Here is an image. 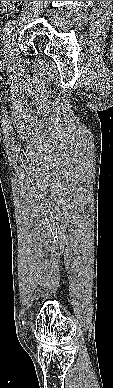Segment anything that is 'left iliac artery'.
Masks as SVG:
<instances>
[{
    "instance_id": "1",
    "label": "left iliac artery",
    "mask_w": 113,
    "mask_h": 388,
    "mask_svg": "<svg viewBox=\"0 0 113 388\" xmlns=\"http://www.w3.org/2000/svg\"><path fill=\"white\" fill-rule=\"evenodd\" d=\"M19 20H9L6 24H5V27H4V30H3V38H7L8 35L11 34V32L13 31L14 29V25L18 23Z\"/></svg>"
}]
</instances>
